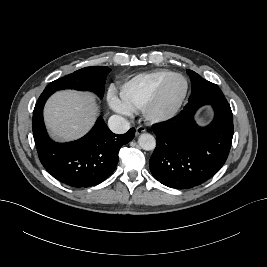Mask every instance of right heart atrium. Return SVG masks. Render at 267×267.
Masks as SVG:
<instances>
[{
	"label": "right heart atrium",
	"instance_id": "1",
	"mask_svg": "<svg viewBox=\"0 0 267 267\" xmlns=\"http://www.w3.org/2000/svg\"><path fill=\"white\" fill-rule=\"evenodd\" d=\"M108 104L112 110L121 114H128L130 113V109H128L124 103L116 96L113 90H110L108 93Z\"/></svg>",
	"mask_w": 267,
	"mask_h": 267
}]
</instances>
